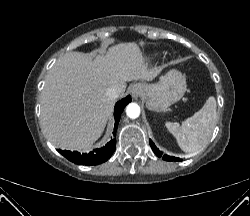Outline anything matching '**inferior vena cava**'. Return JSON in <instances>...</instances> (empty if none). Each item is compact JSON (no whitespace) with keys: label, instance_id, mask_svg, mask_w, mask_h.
<instances>
[{"label":"inferior vena cava","instance_id":"602c4592","mask_svg":"<svg viewBox=\"0 0 250 216\" xmlns=\"http://www.w3.org/2000/svg\"><path fill=\"white\" fill-rule=\"evenodd\" d=\"M106 94L112 99H117L121 95V91L117 87H110L107 89Z\"/></svg>","mask_w":250,"mask_h":216}]
</instances>
